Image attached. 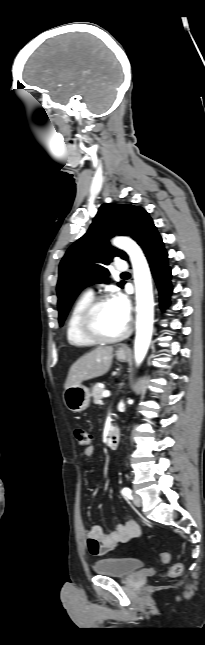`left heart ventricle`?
<instances>
[{
  "label": "left heart ventricle",
  "mask_w": 205,
  "mask_h": 645,
  "mask_svg": "<svg viewBox=\"0 0 205 645\" xmlns=\"http://www.w3.org/2000/svg\"><path fill=\"white\" fill-rule=\"evenodd\" d=\"M127 323H125L115 309L111 301L103 304L96 315L97 329L108 336H113L122 332Z\"/></svg>",
  "instance_id": "b2bd125f"
}]
</instances>
